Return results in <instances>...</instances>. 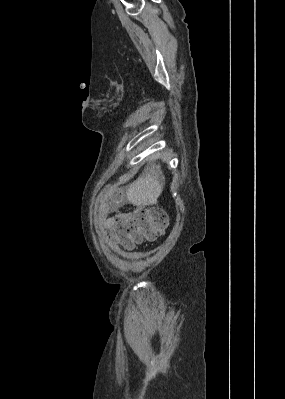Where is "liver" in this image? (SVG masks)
<instances>
[{
	"instance_id": "6515ba94",
	"label": "liver",
	"mask_w": 285,
	"mask_h": 399,
	"mask_svg": "<svg viewBox=\"0 0 285 399\" xmlns=\"http://www.w3.org/2000/svg\"><path fill=\"white\" fill-rule=\"evenodd\" d=\"M164 177L160 165L151 164L126 190L128 201L137 207L157 203L163 191Z\"/></svg>"
}]
</instances>
